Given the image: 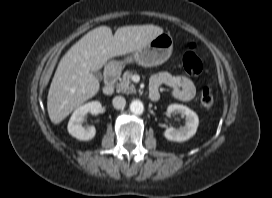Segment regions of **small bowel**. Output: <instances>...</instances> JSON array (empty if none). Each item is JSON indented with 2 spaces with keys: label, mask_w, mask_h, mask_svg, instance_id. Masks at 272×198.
<instances>
[{
  "label": "small bowel",
  "mask_w": 272,
  "mask_h": 198,
  "mask_svg": "<svg viewBox=\"0 0 272 198\" xmlns=\"http://www.w3.org/2000/svg\"><path fill=\"white\" fill-rule=\"evenodd\" d=\"M162 84L169 86L172 89V95L182 101L191 100L196 94V87L191 79L161 72L151 79L150 95L152 92L158 91L159 86Z\"/></svg>",
  "instance_id": "obj_1"
}]
</instances>
